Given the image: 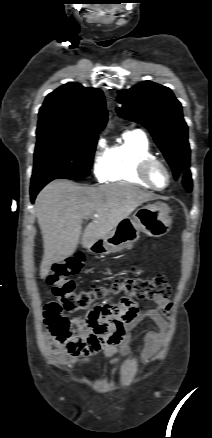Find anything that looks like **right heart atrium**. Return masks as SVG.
I'll use <instances>...</instances> for the list:
<instances>
[{
	"label": "right heart atrium",
	"mask_w": 212,
	"mask_h": 438,
	"mask_svg": "<svg viewBox=\"0 0 212 438\" xmlns=\"http://www.w3.org/2000/svg\"><path fill=\"white\" fill-rule=\"evenodd\" d=\"M106 170V144L103 138L99 139L96 144L94 154L93 172L98 180H103Z\"/></svg>",
	"instance_id": "1"
}]
</instances>
